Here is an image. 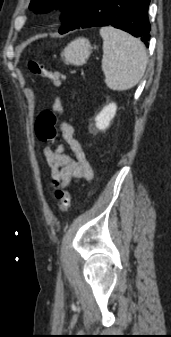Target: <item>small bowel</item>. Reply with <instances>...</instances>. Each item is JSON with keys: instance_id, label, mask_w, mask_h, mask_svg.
<instances>
[{"instance_id": "c3829d8e", "label": "small bowel", "mask_w": 171, "mask_h": 337, "mask_svg": "<svg viewBox=\"0 0 171 337\" xmlns=\"http://www.w3.org/2000/svg\"><path fill=\"white\" fill-rule=\"evenodd\" d=\"M53 110L60 115L64 113V106L59 98L55 100ZM59 128L64 143L56 149L46 145L43 150L47 165L51 169V186L54 187L56 180H59L63 187H67L72 181L92 179L91 164L74 136L73 126L63 121ZM67 150H70L72 155H69Z\"/></svg>"}]
</instances>
